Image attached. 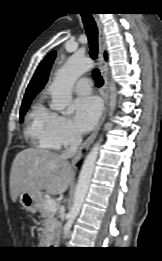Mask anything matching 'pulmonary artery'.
Returning a JSON list of instances; mask_svg holds the SVG:
<instances>
[{
  "label": "pulmonary artery",
  "instance_id": "1",
  "mask_svg": "<svg viewBox=\"0 0 162 261\" xmlns=\"http://www.w3.org/2000/svg\"><path fill=\"white\" fill-rule=\"evenodd\" d=\"M91 80L87 77L78 79L74 85V90L77 94L87 96L90 94Z\"/></svg>",
  "mask_w": 162,
  "mask_h": 261
}]
</instances>
